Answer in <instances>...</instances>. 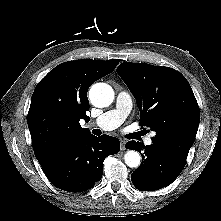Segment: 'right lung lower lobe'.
<instances>
[{
  "instance_id": "98d812e1",
  "label": "right lung lower lobe",
  "mask_w": 221,
  "mask_h": 221,
  "mask_svg": "<svg viewBox=\"0 0 221 221\" xmlns=\"http://www.w3.org/2000/svg\"><path fill=\"white\" fill-rule=\"evenodd\" d=\"M119 150L117 138L91 134L40 165L55 187L68 192H81L91 189L101 179L105 157Z\"/></svg>"
}]
</instances>
